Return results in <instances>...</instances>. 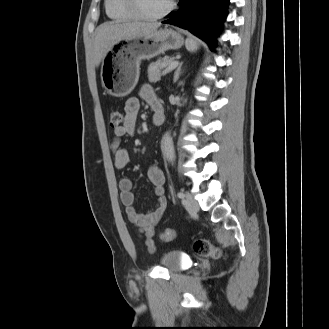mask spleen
I'll return each instance as SVG.
<instances>
[{
	"label": "spleen",
	"mask_w": 329,
	"mask_h": 329,
	"mask_svg": "<svg viewBox=\"0 0 329 329\" xmlns=\"http://www.w3.org/2000/svg\"><path fill=\"white\" fill-rule=\"evenodd\" d=\"M186 48L190 52H195L198 49V44L195 39L188 38L185 42Z\"/></svg>",
	"instance_id": "3e777b00"
}]
</instances>
